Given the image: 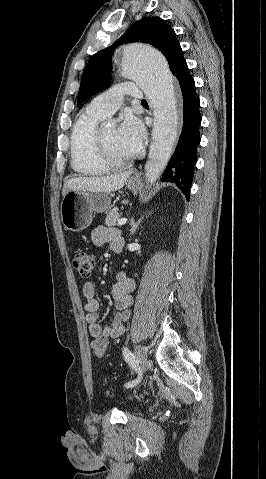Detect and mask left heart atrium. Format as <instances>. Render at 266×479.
Returning <instances> with one entry per match:
<instances>
[{"label": "left heart atrium", "instance_id": "obj_1", "mask_svg": "<svg viewBox=\"0 0 266 479\" xmlns=\"http://www.w3.org/2000/svg\"><path fill=\"white\" fill-rule=\"evenodd\" d=\"M144 136L142 123L132 115H127L118 128L121 147L129 157L136 155L141 150Z\"/></svg>", "mask_w": 266, "mask_h": 479}]
</instances>
